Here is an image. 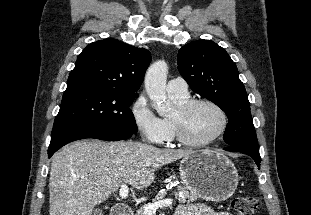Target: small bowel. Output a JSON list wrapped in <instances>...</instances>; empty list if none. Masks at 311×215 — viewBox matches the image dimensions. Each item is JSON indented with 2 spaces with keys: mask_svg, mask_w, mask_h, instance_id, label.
<instances>
[{
  "mask_svg": "<svg viewBox=\"0 0 311 215\" xmlns=\"http://www.w3.org/2000/svg\"><path fill=\"white\" fill-rule=\"evenodd\" d=\"M175 215H232L228 212H217L203 204H185L177 208Z\"/></svg>",
  "mask_w": 311,
  "mask_h": 215,
  "instance_id": "obj_1",
  "label": "small bowel"
}]
</instances>
